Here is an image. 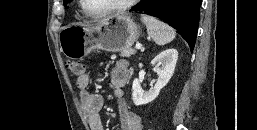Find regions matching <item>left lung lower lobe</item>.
<instances>
[{"mask_svg": "<svg viewBox=\"0 0 257 130\" xmlns=\"http://www.w3.org/2000/svg\"><path fill=\"white\" fill-rule=\"evenodd\" d=\"M201 0H141L131 10L159 18L175 28L194 48Z\"/></svg>", "mask_w": 257, "mask_h": 130, "instance_id": "0a47b994", "label": "left lung lower lobe"}]
</instances>
